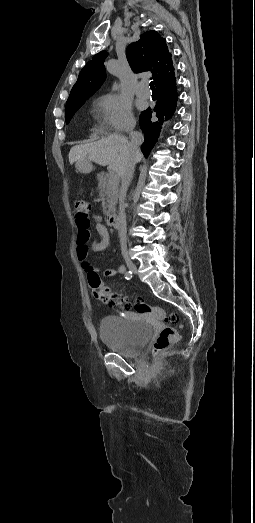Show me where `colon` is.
Here are the masks:
<instances>
[{"instance_id": "1", "label": "colon", "mask_w": 255, "mask_h": 523, "mask_svg": "<svg viewBox=\"0 0 255 523\" xmlns=\"http://www.w3.org/2000/svg\"><path fill=\"white\" fill-rule=\"evenodd\" d=\"M76 211V223L78 226L84 227L89 224L88 212L90 209L89 203L82 199H77L74 202ZM88 282L95 299L103 301L111 306L116 307H128L129 304L125 302L116 293L105 287L98 274L96 272L88 273ZM134 309L139 314L150 315L156 319L164 320L170 324L178 323V317L175 314L167 313L163 308L157 306H151L143 302H136ZM181 339L180 332L172 326H164L152 347V353L154 355L160 354L162 351L167 349L170 345L178 342Z\"/></svg>"}]
</instances>
